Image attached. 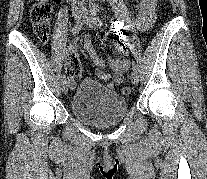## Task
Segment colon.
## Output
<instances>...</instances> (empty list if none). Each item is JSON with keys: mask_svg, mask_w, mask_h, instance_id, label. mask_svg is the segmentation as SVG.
Here are the masks:
<instances>
[{"mask_svg": "<svg viewBox=\"0 0 207 179\" xmlns=\"http://www.w3.org/2000/svg\"><path fill=\"white\" fill-rule=\"evenodd\" d=\"M52 13V6L48 0H37L30 10V21L34 28V33L38 40L46 44L50 39V18ZM66 74L71 78H76L81 74V65L77 57L70 53L66 62ZM123 96L130 94L129 87L121 89Z\"/></svg>", "mask_w": 207, "mask_h": 179, "instance_id": "5ec220e1", "label": "colon"}]
</instances>
